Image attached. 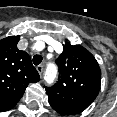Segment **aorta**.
<instances>
[{"label": "aorta", "instance_id": "obj_1", "mask_svg": "<svg viewBox=\"0 0 117 117\" xmlns=\"http://www.w3.org/2000/svg\"><path fill=\"white\" fill-rule=\"evenodd\" d=\"M56 74H57V69L55 66H49L48 69H47V72H46V77L45 79L48 81V82H52L55 77H56Z\"/></svg>", "mask_w": 117, "mask_h": 117}]
</instances>
